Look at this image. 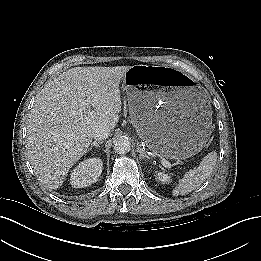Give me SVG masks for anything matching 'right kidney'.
<instances>
[{
    "label": "right kidney",
    "mask_w": 261,
    "mask_h": 261,
    "mask_svg": "<svg viewBox=\"0 0 261 261\" xmlns=\"http://www.w3.org/2000/svg\"><path fill=\"white\" fill-rule=\"evenodd\" d=\"M103 162L100 158H89L76 166L71 172L70 183L74 188L87 187L98 180Z\"/></svg>",
    "instance_id": "1"
}]
</instances>
